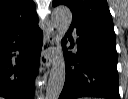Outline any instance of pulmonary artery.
<instances>
[{"instance_id": "pulmonary-artery-1", "label": "pulmonary artery", "mask_w": 128, "mask_h": 99, "mask_svg": "<svg viewBox=\"0 0 128 99\" xmlns=\"http://www.w3.org/2000/svg\"><path fill=\"white\" fill-rule=\"evenodd\" d=\"M74 37L76 38V34L74 33Z\"/></svg>"}]
</instances>
